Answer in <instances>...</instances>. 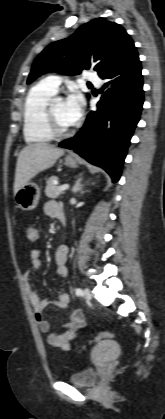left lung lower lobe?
<instances>
[{"instance_id":"obj_1","label":"left lung lower lobe","mask_w":165,"mask_h":419,"mask_svg":"<svg viewBox=\"0 0 165 419\" xmlns=\"http://www.w3.org/2000/svg\"><path fill=\"white\" fill-rule=\"evenodd\" d=\"M101 78L107 82L101 89L105 91L97 109L89 112L84 126L73 138L59 145L105 169L116 182L144 102L136 48Z\"/></svg>"}]
</instances>
